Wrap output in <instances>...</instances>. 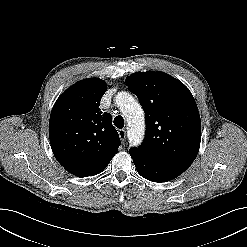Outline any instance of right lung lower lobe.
<instances>
[{"label": "right lung lower lobe", "mask_w": 247, "mask_h": 247, "mask_svg": "<svg viewBox=\"0 0 247 247\" xmlns=\"http://www.w3.org/2000/svg\"><path fill=\"white\" fill-rule=\"evenodd\" d=\"M110 160L93 168L86 169V170H79V171H72L71 174L78 176V177H88L94 176L101 173L109 164Z\"/></svg>", "instance_id": "right-lung-lower-lobe-1"}]
</instances>
